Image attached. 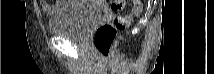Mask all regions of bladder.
Listing matches in <instances>:
<instances>
[{"instance_id":"obj_1","label":"bladder","mask_w":214,"mask_h":74,"mask_svg":"<svg viewBox=\"0 0 214 74\" xmlns=\"http://www.w3.org/2000/svg\"><path fill=\"white\" fill-rule=\"evenodd\" d=\"M72 5L60 10L49 20L50 32L72 41H83L88 30L103 15V10L94 6L92 1H71Z\"/></svg>"}]
</instances>
